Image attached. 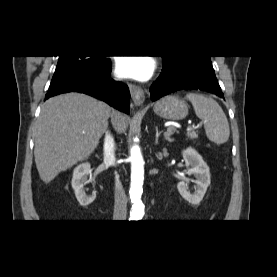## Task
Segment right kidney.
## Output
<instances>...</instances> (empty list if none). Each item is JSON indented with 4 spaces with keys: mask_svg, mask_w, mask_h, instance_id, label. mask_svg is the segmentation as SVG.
<instances>
[{
    "mask_svg": "<svg viewBox=\"0 0 277 277\" xmlns=\"http://www.w3.org/2000/svg\"><path fill=\"white\" fill-rule=\"evenodd\" d=\"M90 168L91 166L88 162L78 165L73 171V177L71 182L72 188L74 189V193L78 202L81 206L84 207L91 204L96 198L95 192L92 195H87L84 189V185L88 181H94V179H92ZM88 176H90L89 180Z\"/></svg>",
    "mask_w": 277,
    "mask_h": 277,
    "instance_id": "1",
    "label": "right kidney"
}]
</instances>
